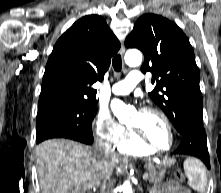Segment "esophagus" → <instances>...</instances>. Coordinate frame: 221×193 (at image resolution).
Segmentation results:
<instances>
[{
    "mask_svg": "<svg viewBox=\"0 0 221 193\" xmlns=\"http://www.w3.org/2000/svg\"><path fill=\"white\" fill-rule=\"evenodd\" d=\"M119 53L123 56L124 53H125V47L122 45L120 50H119Z\"/></svg>",
    "mask_w": 221,
    "mask_h": 193,
    "instance_id": "1",
    "label": "esophagus"
}]
</instances>
